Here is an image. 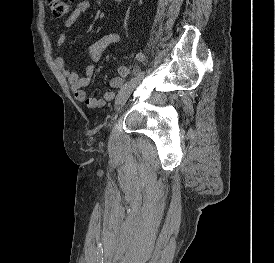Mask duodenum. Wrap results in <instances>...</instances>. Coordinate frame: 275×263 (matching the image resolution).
I'll use <instances>...</instances> for the list:
<instances>
[{
    "instance_id": "obj_1",
    "label": "duodenum",
    "mask_w": 275,
    "mask_h": 263,
    "mask_svg": "<svg viewBox=\"0 0 275 263\" xmlns=\"http://www.w3.org/2000/svg\"><path fill=\"white\" fill-rule=\"evenodd\" d=\"M115 1H117V2H121V1H123V0H115Z\"/></svg>"
}]
</instances>
